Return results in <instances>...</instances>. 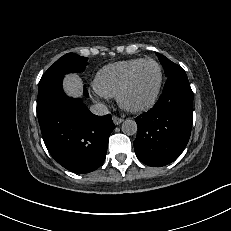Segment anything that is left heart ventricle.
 <instances>
[{
    "instance_id": "1",
    "label": "left heart ventricle",
    "mask_w": 231,
    "mask_h": 231,
    "mask_svg": "<svg viewBox=\"0 0 231 231\" xmlns=\"http://www.w3.org/2000/svg\"><path fill=\"white\" fill-rule=\"evenodd\" d=\"M158 79L159 71L155 64L142 65L136 72L126 94V102L132 106H139L147 102L156 89Z\"/></svg>"
}]
</instances>
